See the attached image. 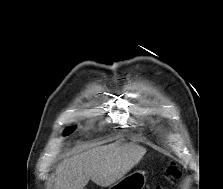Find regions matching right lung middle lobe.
Segmentation results:
<instances>
[{
	"label": "right lung middle lobe",
	"mask_w": 223,
	"mask_h": 189,
	"mask_svg": "<svg viewBox=\"0 0 223 189\" xmlns=\"http://www.w3.org/2000/svg\"><path fill=\"white\" fill-rule=\"evenodd\" d=\"M72 132H73V130H72V129H67V131H66L65 135L70 134V133H72Z\"/></svg>",
	"instance_id": "right-lung-middle-lobe-1"
}]
</instances>
